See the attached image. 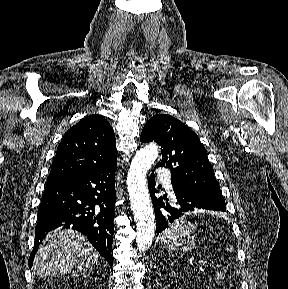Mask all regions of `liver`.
<instances>
[{
  "label": "liver",
  "mask_w": 288,
  "mask_h": 289,
  "mask_svg": "<svg viewBox=\"0 0 288 289\" xmlns=\"http://www.w3.org/2000/svg\"><path fill=\"white\" fill-rule=\"evenodd\" d=\"M97 250L79 232L55 229L42 241L33 263L39 276H58L85 271L95 264Z\"/></svg>",
  "instance_id": "6515ba94"
}]
</instances>
